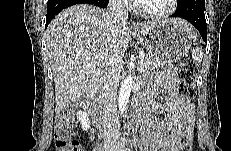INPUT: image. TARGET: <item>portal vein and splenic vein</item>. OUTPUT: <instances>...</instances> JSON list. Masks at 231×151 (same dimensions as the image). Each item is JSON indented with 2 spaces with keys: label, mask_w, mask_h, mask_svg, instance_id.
<instances>
[{
  "label": "portal vein and splenic vein",
  "mask_w": 231,
  "mask_h": 151,
  "mask_svg": "<svg viewBox=\"0 0 231 151\" xmlns=\"http://www.w3.org/2000/svg\"><path fill=\"white\" fill-rule=\"evenodd\" d=\"M145 57V54L144 53H140L139 54V58L142 60L143 58Z\"/></svg>",
  "instance_id": "portal-vein-and-splenic-vein-1"
}]
</instances>
